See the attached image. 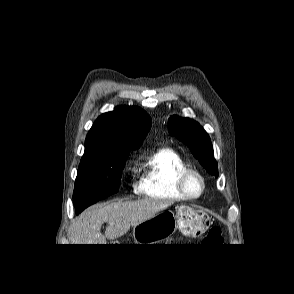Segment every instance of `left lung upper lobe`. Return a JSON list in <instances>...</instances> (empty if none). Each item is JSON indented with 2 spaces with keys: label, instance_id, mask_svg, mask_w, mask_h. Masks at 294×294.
<instances>
[{
  "label": "left lung upper lobe",
  "instance_id": "1",
  "mask_svg": "<svg viewBox=\"0 0 294 294\" xmlns=\"http://www.w3.org/2000/svg\"><path fill=\"white\" fill-rule=\"evenodd\" d=\"M168 131L190 148L194 157L207 172L218 177L211 140L196 121L172 116L168 121Z\"/></svg>",
  "mask_w": 294,
  "mask_h": 294
}]
</instances>
